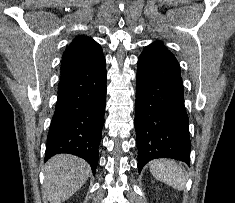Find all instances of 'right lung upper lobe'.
<instances>
[{
    "label": "right lung upper lobe",
    "mask_w": 235,
    "mask_h": 203,
    "mask_svg": "<svg viewBox=\"0 0 235 203\" xmlns=\"http://www.w3.org/2000/svg\"><path fill=\"white\" fill-rule=\"evenodd\" d=\"M102 55L101 46L92 38L77 36L63 53L61 77L79 71Z\"/></svg>",
    "instance_id": "cb5924a9"
}]
</instances>
